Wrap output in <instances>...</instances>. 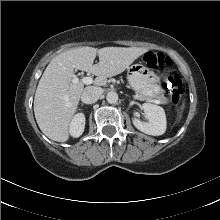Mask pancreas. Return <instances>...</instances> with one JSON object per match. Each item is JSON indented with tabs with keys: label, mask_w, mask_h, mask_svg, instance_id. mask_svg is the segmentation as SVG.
Here are the masks:
<instances>
[{
	"label": "pancreas",
	"mask_w": 220,
	"mask_h": 220,
	"mask_svg": "<svg viewBox=\"0 0 220 220\" xmlns=\"http://www.w3.org/2000/svg\"><path fill=\"white\" fill-rule=\"evenodd\" d=\"M158 100L160 101L161 104H166V103H168V100H167L166 97H164V95H160V96L158 97Z\"/></svg>",
	"instance_id": "obj_1"
}]
</instances>
